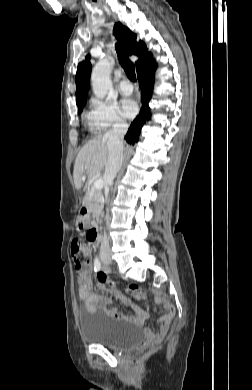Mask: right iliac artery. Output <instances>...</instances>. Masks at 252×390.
<instances>
[{"label":"right iliac artery","mask_w":252,"mask_h":390,"mask_svg":"<svg viewBox=\"0 0 252 390\" xmlns=\"http://www.w3.org/2000/svg\"><path fill=\"white\" fill-rule=\"evenodd\" d=\"M94 266L95 271H99L101 269V263L98 258H95Z\"/></svg>","instance_id":"1"}]
</instances>
